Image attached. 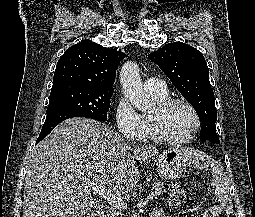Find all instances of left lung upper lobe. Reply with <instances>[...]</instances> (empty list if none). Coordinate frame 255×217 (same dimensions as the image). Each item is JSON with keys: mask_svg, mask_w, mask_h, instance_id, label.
Here are the masks:
<instances>
[{"mask_svg": "<svg viewBox=\"0 0 255 217\" xmlns=\"http://www.w3.org/2000/svg\"><path fill=\"white\" fill-rule=\"evenodd\" d=\"M149 58L194 107L202 122L200 141L220 144L215 129L214 94L203 54L188 44L174 42L151 53Z\"/></svg>", "mask_w": 255, "mask_h": 217, "instance_id": "left-lung-upper-lobe-1", "label": "left lung upper lobe"}]
</instances>
